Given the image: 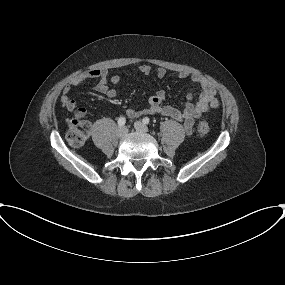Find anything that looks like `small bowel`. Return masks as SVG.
<instances>
[{
	"label": "small bowel",
	"instance_id": "c3829d8e",
	"mask_svg": "<svg viewBox=\"0 0 285 285\" xmlns=\"http://www.w3.org/2000/svg\"><path fill=\"white\" fill-rule=\"evenodd\" d=\"M139 71L144 75H149L152 69L149 65L143 64L139 67ZM155 74L158 78H164L166 70L159 67L156 69ZM179 78L190 79L196 86L195 89H191L187 92V102L181 108L164 105L166 98L165 93L163 91H158L149 98L145 108H129L125 111L126 115L130 118L155 114L169 116L182 122L186 133L190 135L196 119L204 113H207L209 110L216 108L218 106V99L216 97L214 86L206 78L200 75L190 74L186 71L180 72ZM91 79H98V82L95 85V90L97 92L106 95L110 99L117 96V90L112 86L120 84V76H110L106 70H88L73 77L63 89L61 102L68 111H75L76 115L79 116L85 115L86 110L84 108H76V101L71 98L69 94L73 87Z\"/></svg>",
	"mask_w": 285,
	"mask_h": 285
}]
</instances>
